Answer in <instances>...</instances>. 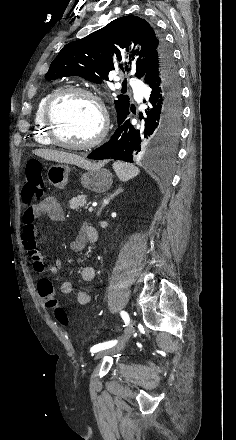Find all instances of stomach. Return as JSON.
<instances>
[{
  "label": "stomach",
  "mask_w": 236,
  "mask_h": 440,
  "mask_svg": "<svg viewBox=\"0 0 236 440\" xmlns=\"http://www.w3.org/2000/svg\"><path fill=\"white\" fill-rule=\"evenodd\" d=\"M70 171L71 168L67 164H54L49 167L47 177L53 186L63 189L68 182ZM112 183V173L101 166L86 169L81 175L83 187L97 193L107 191Z\"/></svg>",
  "instance_id": "stomach-1"
}]
</instances>
